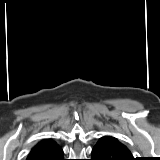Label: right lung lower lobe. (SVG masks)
<instances>
[{
  "mask_svg": "<svg viewBox=\"0 0 160 160\" xmlns=\"http://www.w3.org/2000/svg\"><path fill=\"white\" fill-rule=\"evenodd\" d=\"M33 160H65V159L63 157L62 149L58 146L53 150L34 158Z\"/></svg>",
  "mask_w": 160,
  "mask_h": 160,
  "instance_id": "98d812e1",
  "label": "right lung lower lobe"
}]
</instances>
